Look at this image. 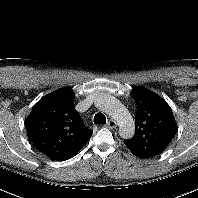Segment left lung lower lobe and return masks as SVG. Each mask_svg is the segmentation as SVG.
Returning a JSON list of instances; mask_svg holds the SVG:
<instances>
[{"label":"left lung lower lobe","mask_w":198,"mask_h":198,"mask_svg":"<svg viewBox=\"0 0 198 198\" xmlns=\"http://www.w3.org/2000/svg\"><path fill=\"white\" fill-rule=\"evenodd\" d=\"M135 156H137L138 158H150V157H147V156H143L141 154H137V153H133Z\"/></svg>","instance_id":"0a47b994"}]
</instances>
